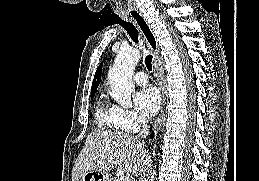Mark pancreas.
<instances>
[{
	"instance_id": "cf45deb5",
	"label": "pancreas",
	"mask_w": 259,
	"mask_h": 181,
	"mask_svg": "<svg viewBox=\"0 0 259 181\" xmlns=\"http://www.w3.org/2000/svg\"><path fill=\"white\" fill-rule=\"evenodd\" d=\"M113 181H119V179L115 177Z\"/></svg>"
}]
</instances>
